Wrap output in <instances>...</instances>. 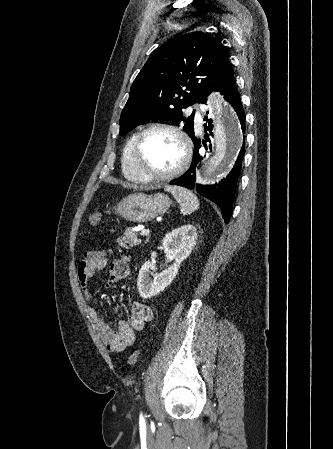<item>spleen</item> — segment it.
<instances>
[{
	"label": "spleen",
	"mask_w": 333,
	"mask_h": 449,
	"mask_svg": "<svg viewBox=\"0 0 333 449\" xmlns=\"http://www.w3.org/2000/svg\"><path fill=\"white\" fill-rule=\"evenodd\" d=\"M165 190L170 192L180 204V211L183 215L191 214L199 208V200L190 190L179 186H166Z\"/></svg>",
	"instance_id": "obj_1"
}]
</instances>
